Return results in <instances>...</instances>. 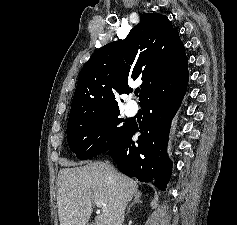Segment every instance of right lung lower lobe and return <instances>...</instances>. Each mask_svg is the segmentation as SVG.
Segmentation results:
<instances>
[{"label": "right lung lower lobe", "instance_id": "right-lung-lower-lobe-1", "mask_svg": "<svg viewBox=\"0 0 237 225\" xmlns=\"http://www.w3.org/2000/svg\"><path fill=\"white\" fill-rule=\"evenodd\" d=\"M188 80L160 85L141 101L142 122L129 123L116 143L106 152L118 169L142 182H154L164 191L172 174L167 154L171 121L185 95ZM141 132L136 142L132 136Z\"/></svg>", "mask_w": 237, "mask_h": 225}]
</instances>
